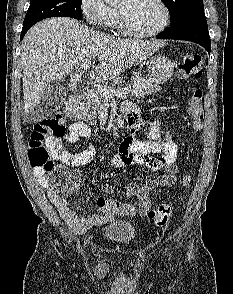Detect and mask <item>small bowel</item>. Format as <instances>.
<instances>
[{
	"instance_id": "1",
	"label": "small bowel",
	"mask_w": 233,
	"mask_h": 294,
	"mask_svg": "<svg viewBox=\"0 0 233 294\" xmlns=\"http://www.w3.org/2000/svg\"><path fill=\"white\" fill-rule=\"evenodd\" d=\"M128 106H133L126 102L123 104L125 112ZM136 110L135 131L142 126V120ZM126 113V112H125ZM90 129L84 122L77 121L71 123L63 137L54 140L55 154L62 163L71 167L86 165L95 156V148L89 145L84 151L71 154L63 149L64 142L74 144L81 138L88 139ZM177 145L172 140L169 133H163L157 123H153L149 140L136 141L128 137L119 145L118 152L112 158V166L122 168L129 165H139L153 172H158L155 178L147 179L143 184L131 182L128 184L127 197H135L139 200L140 214L145 216L150 208V192L155 187H172L176 183L178 167L175 163L177 158ZM34 173L39 183L46 189L51 202L55 205L64 221L76 232L83 233L90 227L102 225L110 222L115 215H127L122 212L121 203L105 197H97L95 204L100 210L99 214L85 215L81 212L78 205L70 203L62 197L51 183L50 176L40 168H34ZM79 179V186L85 183L86 178L76 175ZM100 190L105 194L114 192L113 186L102 184Z\"/></svg>"
}]
</instances>
